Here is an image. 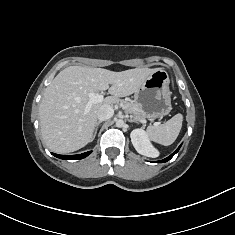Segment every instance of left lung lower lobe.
Wrapping results in <instances>:
<instances>
[{"label":"left lung lower lobe","instance_id":"obj_1","mask_svg":"<svg viewBox=\"0 0 235 235\" xmlns=\"http://www.w3.org/2000/svg\"><path fill=\"white\" fill-rule=\"evenodd\" d=\"M181 145L177 148V150L172 153L170 156H168L167 158L161 160V161H157V163H163V162H167L168 160H170L180 149Z\"/></svg>","mask_w":235,"mask_h":235}]
</instances>
